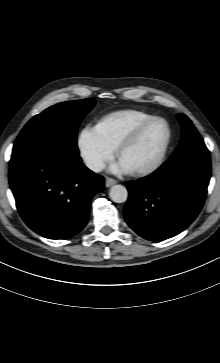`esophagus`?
Returning a JSON list of instances; mask_svg holds the SVG:
<instances>
[{"instance_id": "1", "label": "esophagus", "mask_w": 220, "mask_h": 363, "mask_svg": "<svg viewBox=\"0 0 220 363\" xmlns=\"http://www.w3.org/2000/svg\"><path fill=\"white\" fill-rule=\"evenodd\" d=\"M116 183H117V181L115 179H113V178L107 177L105 179V185H106V187H111L112 185H114Z\"/></svg>"}]
</instances>
